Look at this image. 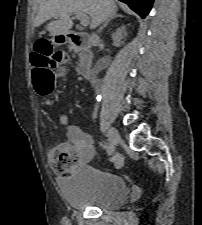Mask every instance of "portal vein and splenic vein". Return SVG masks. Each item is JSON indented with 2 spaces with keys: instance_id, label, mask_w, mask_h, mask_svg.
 Returning <instances> with one entry per match:
<instances>
[{
  "instance_id": "portal-vein-and-splenic-vein-1",
  "label": "portal vein and splenic vein",
  "mask_w": 202,
  "mask_h": 225,
  "mask_svg": "<svg viewBox=\"0 0 202 225\" xmlns=\"http://www.w3.org/2000/svg\"><path fill=\"white\" fill-rule=\"evenodd\" d=\"M75 17L80 20L82 26L86 27L90 23L89 17L84 13H76Z\"/></svg>"
}]
</instances>
